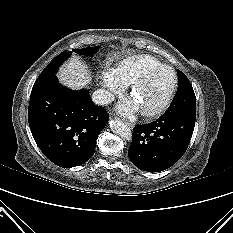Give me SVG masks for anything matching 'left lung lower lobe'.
<instances>
[{"mask_svg":"<svg viewBox=\"0 0 233 233\" xmlns=\"http://www.w3.org/2000/svg\"><path fill=\"white\" fill-rule=\"evenodd\" d=\"M196 111H166L156 121L136 125L128 150L129 159L147 172L163 171L185 153L195 126Z\"/></svg>","mask_w":233,"mask_h":233,"instance_id":"0a47b994","label":"left lung lower lobe"}]
</instances>
